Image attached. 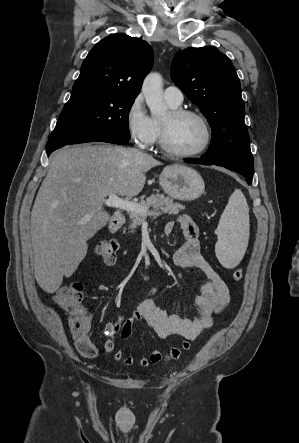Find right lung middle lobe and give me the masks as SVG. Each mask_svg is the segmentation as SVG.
<instances>
[{
	"label": "right lung middle lobe",
	"mask_w": 299,
	"mask_h": 443,
	"mask_svg": "<svg viewBox=\"0 0 299 443\" xmlns=\"http://www.w3.org/2000/svg\"><path fill=\"white\" fill-rule=\"evenodd\" d=\"M136 97L96 90H72L48 142L100 133L130 140L128 116Z\"/></svg>",
	"instance_id": "1"
}]
</instances>
